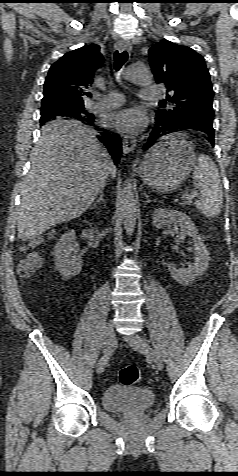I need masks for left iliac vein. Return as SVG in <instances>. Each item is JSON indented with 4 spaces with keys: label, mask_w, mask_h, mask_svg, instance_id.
Wrapping results in <instances>:
<instances>
[{
    "label": "left iliac vein",
    "mask_w": 238,
    "mask_h": 476,
    "mask_svg": "<svg viewBox=\"0 0 238 476\" xmlns=\"http://www.w3.org/2000/svg\"><path fill=\"white\" fill-rule=\"evenodd\" d=\"M125 340L134 350L147 355L159 370L163 369V361L160 355L153 350L141 336L138 334H132L125 336Z\"/></svg>",
    "instance_id": "left-iliac-vein-1"
}]
</instances>
